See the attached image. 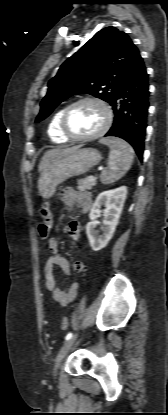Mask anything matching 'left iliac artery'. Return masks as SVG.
Listing matches in <instances>:
<instances>
[{"label":"left iliac artery","mask_w":168,"mask_h":415,"mask_svg":"<svg viewBox=\"0 0 168 415\" xmlns=\"http://www.w3.org/2000/svg\"><path fill=\"white\" fill-rule=\"evenodd\" d=\"M71 337H72V333H71V332H69V333L66 335L65 339H66V340H68V339H70Z\"/></svg>","instance_id":"1"}]
</instances>
